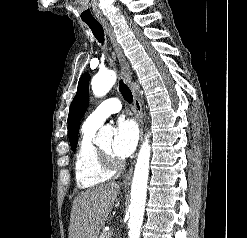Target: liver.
<instances>
[{"mask_svg": "<svg viewBox=\"0 0 247 238\" xmlns=\"http://www.w3.org/2000/svg\"><path fill=\"white\" fill-rule=\"evenodd\" d=\"M119 191L111 182L81 192L73 202L69 238H98Z\"/></svg>", "mask_w": 247, "mask_h": 238, "instance_id": "1", "label": "liver"}]
</instances>
